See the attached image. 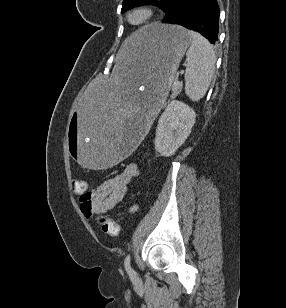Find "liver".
Masks as SVG:
<instances>
[{
    "label": "liver",
    "instance_id": "6515ba94",
    "mask_svg": "<svg viewBox=\"0 0 286 308\" xmlns=\"http://www.w3.org/2000/svg\"><path fill=\"white\" fill-rule=\"evenodd\" d=\"M139 44L138 34L135 32L128 37L123 43L119 54L121 57L127 58L129 61H133V55L136 47Z\"/></svg>",
    "mask_w": 286,
    "mask_h": 308
}]
</instances>
